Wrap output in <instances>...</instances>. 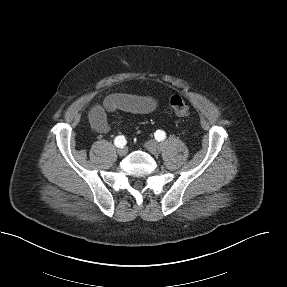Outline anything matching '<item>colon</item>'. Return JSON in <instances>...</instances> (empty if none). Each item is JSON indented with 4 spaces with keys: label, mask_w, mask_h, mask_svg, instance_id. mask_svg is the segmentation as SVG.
Returning <instances> with one entry per match:
<instances>
[{
    "label": "colon",
    "mask_w": 287,
    "mask_h": 287,
    "mask_svg": "<svg viewBox=\"0 0 287 287\" xmlns=\"http://www.w3.org/2000/svg\"><path fill=\"white\" fill-rule=\"evenodd\" d=\"M170 107L175 115L179 117H186L190 113L189 103L179 95H173L170 98Z\"/></svg>",
    "instance_id": "obj_1"
}]
</instances>
